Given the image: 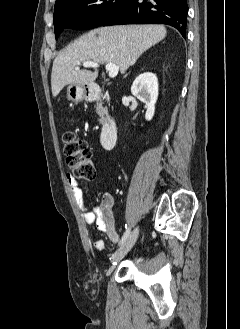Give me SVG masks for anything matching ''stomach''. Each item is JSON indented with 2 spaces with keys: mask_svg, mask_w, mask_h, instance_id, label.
I'll return each instance as SVG.
<instances>
[{
  "mask_svg": "<svg viewBox=\"0 0 240 329\" xmlns=\"http://www.w3.org/2000/svg\"><path fill=\"white\" fill-rule=\"evenodd\" d=\"M67 97L72 102H80L87 98L86 87L82 85L71 84L67 88Z\"/></svg>",
  "mask_w": 240,
  "mask_h": 329,
  "instance_id": "1",
  "label": "stomach"
}]
</instances>
